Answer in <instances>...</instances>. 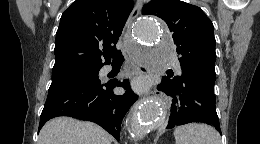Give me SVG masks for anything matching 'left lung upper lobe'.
<instances>
[{
    "label": "left lung upper lobe",
    "instance_id": "5c2ea615",
    "mask_svg": "<svg viewBox=\"0 0 260 144\" xmlns=\"http://www.w3.org/2000/svg\"><path fill=\"white\" fill-rule=\"evenodd\" d=\"M142 14L156 15L166 22L173 33L182 74L190 72L215 84L213 24L199 7L180 0H152L143 6Z\"/></svg>",
    "mask_w": 260,
    "mask_h": 144
}]
</instances>
